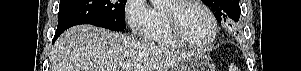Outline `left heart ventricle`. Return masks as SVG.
<instances>
[{
  "label": "left heart ventricle",
  "mask_w": 301,
  "mask_h": 71,
  "mask_svg": "<svg viewBox=\"0 0 301 71\" xmlns=\"http://www.w3.org/2000/svg\"><path fill=\"white\" fill-rule=\"evenodd\" d=\"M183 31L193 42L207 41L212 34V23L202 8L188 5L177 13Z\"/></svg>",
  "instance_id": "left-heart-ventricle-1"
}]
</instances>
